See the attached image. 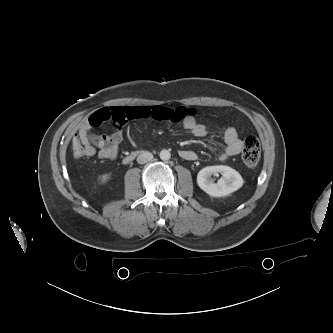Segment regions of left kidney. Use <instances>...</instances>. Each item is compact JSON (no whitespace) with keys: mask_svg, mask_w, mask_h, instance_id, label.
Segmentation results:
<instances>
[{"mask_svg":"<svg viewBox=\"0 0 333 333\" xmlns=\"http://www.w3.org/2000/svg\"><path fill=\"white\" fill-rule=\"evenodd\" d=\"M217 173H220L223 177L217 183H214L211 176ZM243 183L242 176L229 166H207L200 170L197 175L198 186L213 197L228 196L240 189Z\"/></svg>","mask_w":333,"mask_h":333,"instance_id":"obj_1","label":"left kidney"}]
</instances>
